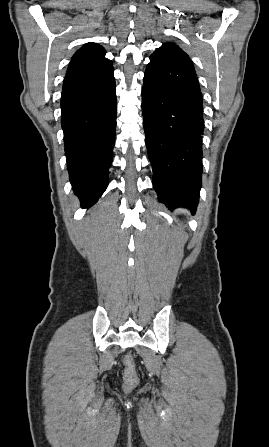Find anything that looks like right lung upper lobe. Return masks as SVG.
<instances>
[{"label": "right lung upper lobe", "instance_id": "1", "mask_svg": "<svg viewBox=\"0 0 269 447\" xmlns=\"http://www.w3.org/2000/svg\"><path fill=\"white\" fill-rule=\"evenodd\" d=\"M104 56L105 50L102 46H99L98 44H94L92 42L87 43L83 47H81L72 57L66 75L110 64L111 61Z\"/></svg>", "mask_w": 269, "mask_h": 447}]
</instances>
